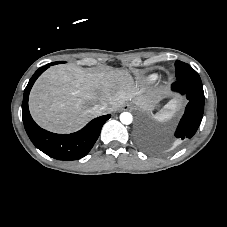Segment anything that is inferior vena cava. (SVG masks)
Listing matches in <instances>:
<instances>
[{"label":"inferior vena cava","instance_id":"inferior-vena-cava-1","mask_svg":"<svg viewBox=\"0 0 227 227\" xmlns=\"http://www.w3.org/2000/svg\"><path fill=\"white\" fill-rule=\"evenodd\" d=\"M107 108H108L107 103L101 102V103L95 104L91 110L94 115L98 116V115L104 114Z\"/></svg>","mask_w":227,"mask_h":227}]
</instances>
